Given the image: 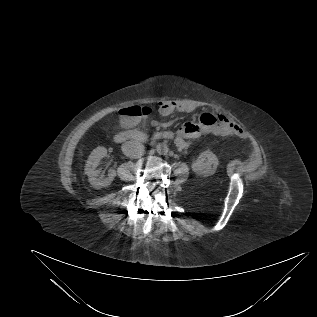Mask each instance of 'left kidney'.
I'll list each match as a JSON object with an SVG mask.
<instances>
[{
  "mask_svg": "<svg viewBox=\"0 0 317 317\" xmlns=\"http://www.w3.org/2000/svg\"><path fill=\"white\" fill-rule=\"evenodd\" d=\"M218 167V158L210 150L203 151L192 162V170L198 175L207 177L214 174Z\"/></svg>",
  "mask_w": 317,
  "mask_h": 317,
  "instance_id": "left-kidney-1",
  "label": "left kidney"
}]
</instances>
